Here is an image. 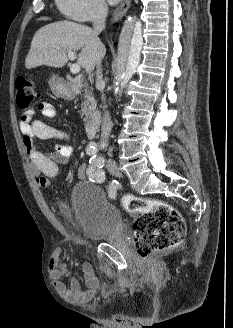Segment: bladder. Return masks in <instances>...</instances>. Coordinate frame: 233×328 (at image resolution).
<instances>
[{"instance_id":"1","label":"bladder","mask_w":233,"mask_h":328,"mask_svg":"<svg viewBox=\"0 0 233 328\" xmlns=\"http://www.w3.org/2000/svg\"><path fill=\"white\" fill-rule=\"evenodd\" d=\"M66 213L82 234L91 240H105L122 226L117 207L99 186L88 181L73 186Z\"/></svg>"}]
</instances>
